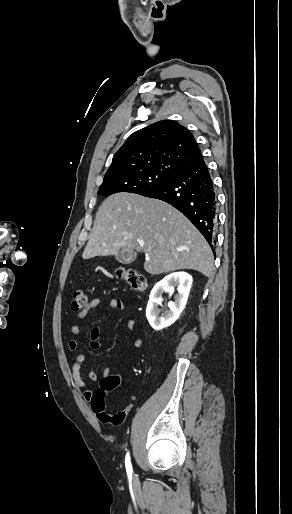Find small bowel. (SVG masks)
Masks as SVG:
<instances>
[{"label":"small bowel","mask_w":292,"mask_h":514,"mask_svg":"<svg viewBox=\"0 0 292 514\" xmlns=\"http://www.w3.org/2000/svg\"><path fill=\"white\" fill-rule=\"evenodd\" d=\"M103 304H107L111 309L123 312L126 310V304L120 298H104V297H94L92 298L86 305V307L77 313L78 319H83L87 316L88 312L94 308H97ZM128 328L130 330H134L136 327L134 319L130 318L127 321ZM71 334L74 337L69 340L67 344V348L70 352H75L79 343L76 338L81 336V329L78 325H73L71 327ZM89 346L92 350H98L101 346L100 342V328L99 326L92 327L89 334ZM132 345L135 348H139L142 345V340L139 337H136L132 341ZM85 363V355L82 353H78L75 356L74 362L71 367V379L74 385L83 390V398L89 400L91 398V391L88 388L87 382L82 377V368ZM102 371L97 373L95 371H88L87 377L92 381H98L100 378L106 377L108 375L109 366L104 364L102 366ZM131 400H134V397H131Z\"/></svg>","instance_id":"c3829d8e"}]
</instances>
